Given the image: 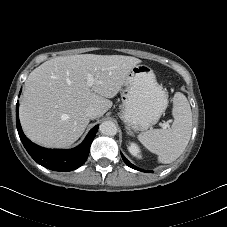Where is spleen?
<instances>
[{
	"label": "spleen",
	"mask_w": 227,
	"mask_h": 227,
	"mask_svg": "<svg viewBox=\"0 0 227 227\" xmlns=\"http://www.w3.org/2000/svg\"><path fill=\"white\" fill-rule=\"evenodd\" d=\"M174 122L168 129H152L138 135V140L150 152L158 155L160 163L175 161L185 150L192 132V112L184 94L173 98Z\"/></svg>",
	"instance_id": "obj_1"
}]
</instances>
